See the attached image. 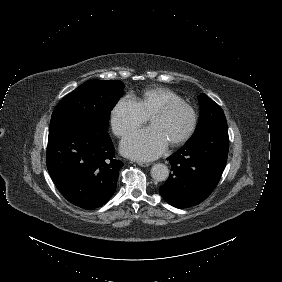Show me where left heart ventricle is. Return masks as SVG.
I'll use <instances>...</instances> for the list:
<instances>
[{"label":"left heart ventricle","instance_id":"left-heart-ventricle-1","mask_svg":"<svg viewBox=\"0 0 282 282\" xmlns=\"http://www.w3.org/2000/svg\"><path fill=\"white\" fill-rule=\"evenodd\" d=\"M169 102H171L170 99L164 100L157 109L166 106ZM150 123L152 126L158 127L166 139L171 141L178 138L184 132L188 123V117L183 110H175L165 116L153 117Z\"/></svg>","mask_w":282,"mask_h":282}]
</instances>
